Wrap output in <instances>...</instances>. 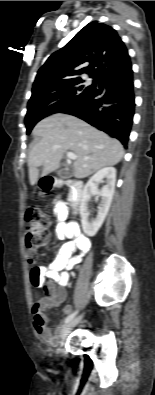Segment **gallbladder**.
<instances>
[{
	"label": "gallbladder",
	"mask_w": 155,
	"mask_h": 395,
	"mask_svg": "<svg viewBox=\"0 0 155 395\" xmlns=\"http://www.w3.org/2000/svg\"><path fill=\"white\" fill-rule=\"evenodd\" d=\"M57 175L61 178H68L72 175V170L70 168H61L57 171Z\"/></svg>",
	"instance_id": "bac80fb5"
}]
</instances>
